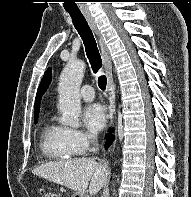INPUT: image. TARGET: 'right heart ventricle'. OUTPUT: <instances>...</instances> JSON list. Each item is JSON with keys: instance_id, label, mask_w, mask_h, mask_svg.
<instances>
[{"instance_id": "right-heart-ventricle-1", "label": "right heart ventricle", "mask_w": 191, "mask_h": 197, "mask_svg": "<svg viewBox=\"0 0 191 197\" xmlns=\"http://www.w3.org/2000/svg\"><path fill=\"white\" fill-rule=\"evenodd\" d=\"M40 149L42 154L52 160L70 159L72 153L67 149L64 140V127L47 118L40 132Z\"/></svg>"}]
</instances>
